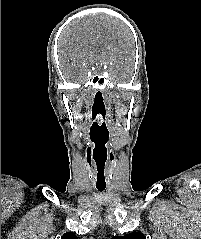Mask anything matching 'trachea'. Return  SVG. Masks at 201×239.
Returning a JSON list of instances; mask_svg holds the SVG:
<instances>
[{
  "label": "trachea",
  "instance_id": "trachea-1",
  "mask_svg": "<svg viewBox=\"0 0 201 239\" xmlns=\"http://www.w3.org/2000/svg\"><path fill=\"white\" fill-rule=\"evenodd\" d=\"M98 191L102 192L105 190V186H97Z\"/></svg>",
  "mask_w": 201,
  "mask_h": 239
}]
</instances>
